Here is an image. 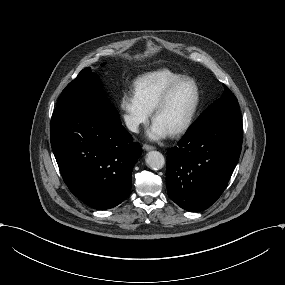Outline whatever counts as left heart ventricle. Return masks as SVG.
I'll return each instance as SVG.
<instances>
[{"mask_svg": "<svg viewBox=\"0 0 285 285\" xmlns=\"http://www.w3.org/2000/svg\"><path fill=\"white\" fill-rule=\"evenodd\" d=\"M196 88L192 82L181 84L171 95L168 103L157 112L155 120L169 131L181 125L189 116L195 101Z\"/></svg>", "mask_w": 285, "mask_h": 285, "instance_id": "b2bd125f", "label": "left heart ventricle"}]
</instances>
